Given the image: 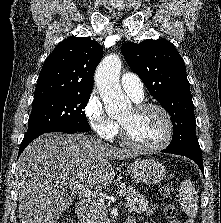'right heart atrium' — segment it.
Returning <instances> with one entry per match:
<instances>
[{
  "instance_id": "obj_1",
  "label": "right heart atrium",
  "mask_w": 221,
  "mask_h": 223,
  "mask_svg": "<svg viewBox=\"0 0 221 223\" xmlns=\"http://www.w3.org/2000/svg\"><path fill=\"white\" fill-rule=\"evenodd\" d=\"M84 115L94 132L106 140L113 139L118 133V124L109 118L101 99L92 93L84 106Z\"/></svg>"
}]
</instances>
